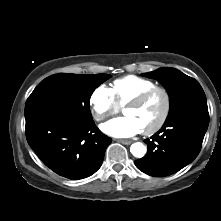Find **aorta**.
Segmentation results:
<instances>
[{"label": "aorta", "instance_id": "obj_1", "mask_svg": "<svg viewBox=\"0 0 221 221\" xmlns=\"http://www.w3.org/2000/svg\"><path fill=\"white\" fill-rule=\"evenodd\" d=\"M130 152L136 158H142L146 154V147L141 142L133 143Z\"/></svg>", "mask_w": 221, "mask_h": 221}]
</instances>
